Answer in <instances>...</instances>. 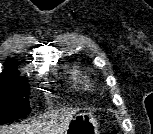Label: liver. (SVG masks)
I'll use <instances>...</instances> for the list:
<instances>
[{"instance_id": "6515ba94", "label": "liver", "mask_w": 153, "mask_h": 134, "mask_svg": "<svg viewBox=\"0 0 153 134\" xmlns=\"http://www.w3.org/2000/svg\"><path fill=\"white\" fill-rule=\"evenodd\" d=\"M77 110L67 109L51 112L47 118H51L50 122H32L31 124H20L12 127L0 128V134H40V132H48L52 134H63L76 114ZM54 120V122H53Z\"/></svg>"}]
</instances>
